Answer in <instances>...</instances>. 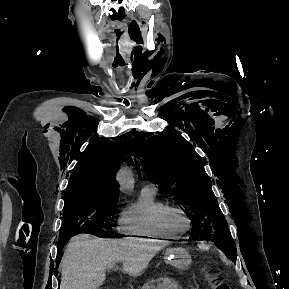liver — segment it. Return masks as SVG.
<instances>
[{"instance_id": "liver-1", "label": "liver", "mask_w": 289, "mask_h": 289, "mask_svg": "<svg viewBox=\"0 0 289 289\" xmlns=\"http://www.w3.org/2000/svg\"><path fill=\"white\" fill-rule=\"evenodd\" d=\"M168 244L138 238L105 240L87 234L75 236L62 258L60 289H98L106 278V268L115 262H122L124 273L139 276L156 252Z\"/></svg>"}]
</instances>
